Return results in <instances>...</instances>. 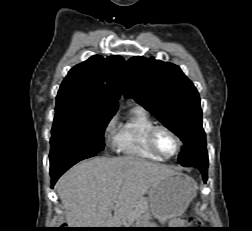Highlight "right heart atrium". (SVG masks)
Listing matches in <instances>:
<instances>
[{"label":"right heart atrium","mask_w":252,"mask_h":231,"mask_svg":"<svg viewBox=\"0 0 252 231\" xmlns=\"http://www.w3.org/2000/svg\"><path fill=\"white\" fill-rule=\"evenodd\" d=\"M117 128V117L115 115L111 116L105 123L104 135L109 138L114 136Z\"/></svg>","instance_id":"right-heart-atrium-1"}]
</instances>
